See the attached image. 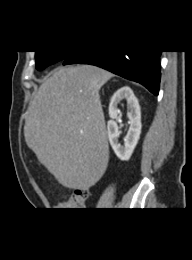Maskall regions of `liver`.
<instances>
[{
  "label": "liver",
  "instance_id": "obj_1",
  "mask_svg": "<svg viewBox=\"0 0 192 260\" xmlns=\"http://www.w3.org/2000/svg\"><path fill=\"white\" fill-rule=\"evenodd\" d=\"M112 77L93 65L62 67L40 85L30 103L26 144L64 187L87 190L107 169L99 90Z\"/></svg>",
  "mask_w": 192,
  "mask_h": 260
}]
</instances>
